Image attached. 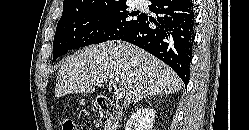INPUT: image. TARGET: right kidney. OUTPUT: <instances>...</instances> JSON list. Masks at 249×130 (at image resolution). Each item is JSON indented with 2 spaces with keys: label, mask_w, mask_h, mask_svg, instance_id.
Listing matches in <instances>:
<instances>
[{
  "label": "right kidney",
  "mask_w": 249,
  "mask_h": 130,
  "mask_svg": "<svg viewBox=\"0 0 249 130\" xmlns=\"http://www.w3.org/2000/svg\"><path fill=\"white\" fill-rule=\"evenodd\" d=\"M155 111L151 108H140L133 113L126 123L125 130H152Z\"/></svg>",
  "instance_id": "ca27d5eb"
}]
</instances>
